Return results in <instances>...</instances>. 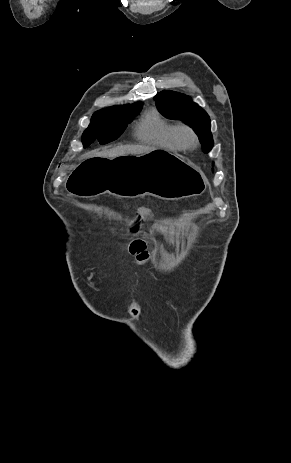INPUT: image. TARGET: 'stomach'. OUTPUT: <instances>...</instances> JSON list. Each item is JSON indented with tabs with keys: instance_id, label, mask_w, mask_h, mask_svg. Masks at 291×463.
Instances as JSON below:
<instances>
[{
	"instance_id": "0dacf381",
	"label": "stomach",
	"mask_w": 291,
	"mask_h": 463,
	"mask_svg": "<svg viewBox=\"0 0 291 463\" xmlns=\"http://www.w3.org/2000/svg\"><path fill=\"white\" fill-rule=\"evenodd\" d=\"M67 179L69 193L92 198L109 193L120 198L152 195L178 200L201 195L206 178L199 167L182 156L155 149L141 155L83 158Z\"/></svg>"
}]
</instances>
